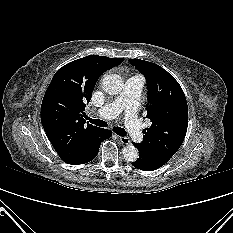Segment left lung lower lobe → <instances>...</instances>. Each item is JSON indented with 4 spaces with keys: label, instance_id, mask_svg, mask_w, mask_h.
I'll list each match as a JSON object with an SVG mask.
<instances>
[{
    "label": "left lung lower lobe",
    "instance_id": "0a47b994",
    "mask_svg": "<svg viewBox=\"0 0 233 233\" xmlns=\"http://www.w3.org/2000/svg\"><path fill=\"white\" fill-rule=\"evenodd\" d=\"M139 151V158L136 161L132 162V165L140 170L144 171H153L162 167L166 162L160 160L159 158L147 153L145 150L141 149L138 144H135Z\"/></svg>",
    "mask_w": 233,
    "mask_h": 233
}]
</instances>
